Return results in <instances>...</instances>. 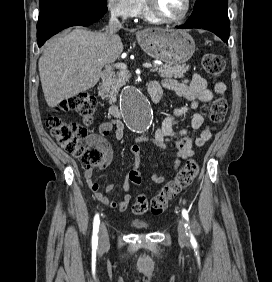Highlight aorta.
<instances>
[{
	"mask_svg": "<svg viewBox=\"0 0 272 282\" xmlns=\"http://www.w3.org/2000/svg\"><path fill=\"white\" fill-rule=\"evenodd\" d=\"M122 111L126 123L135 131H147L153 120V111L146 96L137 87H128L122 97Z\"/></svg>",
	"mask_w": 272,
	"mask_h": 282,
	"instance_id": "762f6f07",
	"label": "aorta"
}]
</instances>
